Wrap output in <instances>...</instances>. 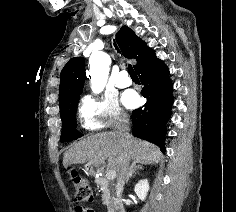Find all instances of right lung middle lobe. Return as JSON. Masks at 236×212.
I'll list each match as a JSON object with an SVG mask.
<instances>
[{"instance_id":"obj_1","label":"right lung middle lobe","mask_w":236,"mask_h":212,"mask_svg":"<svg viewBox=\"0 0 236 212\" xmlns=\"http://www.w3.org/2000/svg\"><path fill=\"white\" fill-rule=\"evenodd\" d=\"M78 101L79 98L73 99L65 108L60 110L63 125L61 135L62 142L75 140L82 136V134L76 130V108Z\"/></svg>"}]
</instances>
